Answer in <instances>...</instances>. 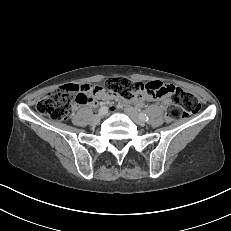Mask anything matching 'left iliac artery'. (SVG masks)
<instances>
[{"mask_svg": "<svg viewBox=\"0 0 231 231\" xmlns=\"http://www.w3.org/2000/svg\"><path fill=\"white\" fill-rule=\"evenodd\" d=\"M140 116H141L145 121H148V120H149L148 115H146V114H144V113H141Z\"/></svg>", "mask_w": 231, "mask_h": 231, "instance_id": "obj_1", "label": "left iliac artery"}]
</instances>
